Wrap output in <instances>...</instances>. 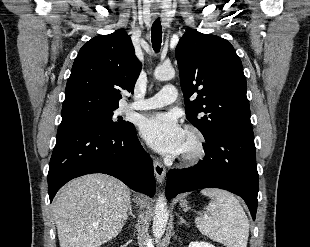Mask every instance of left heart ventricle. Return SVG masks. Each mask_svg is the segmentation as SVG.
Instances as JSON below:
<instances>
[{"label": "left heart ventricle", "instance_id": "left-heart-ventricle-1", "mask_svg": "<svg viewBox=\"0 0 310 247\" xmlns=\"http://www.w3.org/2000/svg\"><path fill=\"white\" fill-rule=\"evenodd\" d=\"M191 147V140L190 138L185 134L184 136V141H183V145H182V150H186L189 149Z\"/></svg>", "mask_w": 310, "mask_h": 247}]
</instances>
